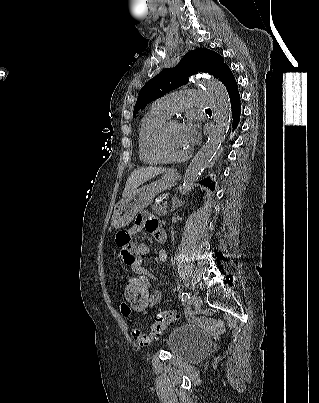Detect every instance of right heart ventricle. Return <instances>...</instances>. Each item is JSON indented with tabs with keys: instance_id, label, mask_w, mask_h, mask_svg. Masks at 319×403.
Masks as SVG:
<instances>
[{
	"instance_id": "1",
	"label": "right heart ventricle",
	"mask_w": 319,
	"mask_h": 403,
	"mask_svg": "<svg viewBox=\"0 0 319 403\" xmlns=\"http://www.w3.org/2000/svg\"><path fill=\"white\" fill-rule=\"evenodd\" d=\"M169 118V114L158 109L155 105L142 117L138 128V148L141 160L149 165L161 164L153 148L154 134L159 126Z\"/></svg>"
}]
</instances>
